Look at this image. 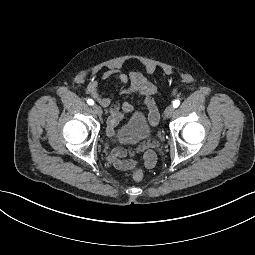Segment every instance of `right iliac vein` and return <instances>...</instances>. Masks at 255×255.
<instances>
[{"label": "right iliac vein", "instance_id": "1", "mask_svg": "<svg viewBox=\"0 0 255 255\" xmlns=\"http://www.w3.org/2000/svg\"><path fill=\"white\" fill-rule=\"evenodd\" d=\"M92 109L95 112V114H97L98 116H101L103 113V111L99 105H96V104L93 105Z\"/></svg>", "mask_w": 255, "mask_h": 255}]
</instances>
